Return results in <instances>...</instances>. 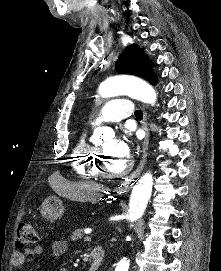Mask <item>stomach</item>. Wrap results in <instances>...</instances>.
<instances>
[{
    "mask_svg": "<svg viewBox=\"0 0 221 271\" xmlns=\"http://www.w3.org/2000/svg\"><path fill=\"white\" fill-rule=\"evenodd\" d=\"M42 217L49 219V221H54L61 217L63 213L62 201L59 197H46V201H43L40 211Z\"/></svg>",
    "mask_w": 221,
    "mask_h": 271,
    "instance_id": "1",
    "label": "stomach"
}]
</instances>
